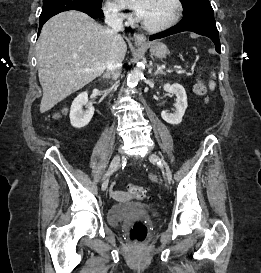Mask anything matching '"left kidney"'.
Here are the masks:
<instances>
[{"label": "left kidney", "mask_w": 261, "mask_h": 273, "mask_svg": "<svg viewBox=\"0 0 261 273\" xmlns=\"http://www.w3.org/2000/svg\"><path fill=\"white\" fill-rule=\"evenodd\" d=\"M164 90L174 94L176 96V103H175V112L168 113L167 111L161 112V117L164 121L169 124L177 125L181 123L182 118L184 116L185 110L187 108V95L184 87L178 83L175 84H165Z\"/></svg>", "instance_id": "obj_1"}]
</instances>
